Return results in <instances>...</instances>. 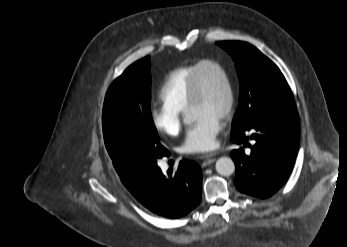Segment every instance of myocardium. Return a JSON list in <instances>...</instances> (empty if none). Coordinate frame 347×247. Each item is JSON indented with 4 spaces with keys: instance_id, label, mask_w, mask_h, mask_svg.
Here are the masks:
<instances>
[{
    "instance_id": "obj_1",
    "label": "myocardium",
    "mask_w": 347,
    "mask_h": 247,
    "mask_svg": "<svg viewBox=\"0 0 347 247\" xmlns=\"http://www.w3.org/2000/svg\"><path fill=\"white\" fill-rule=\"evenodd\" d=\"M204 67L216 68L224 77L226 88H227V103H226V107L222 115V118L228 119L234 110V106L236 102L234 83H233L231 74L229 70L226 68V66L222 64L221 62L214 59H203L198 62L195 68V71L193 73L190 88H189L187 109L191 107L192 105L196 104L197 102H199L201 98L202 86H201L200 73Z\"/></svg>"
}]
</instances>
